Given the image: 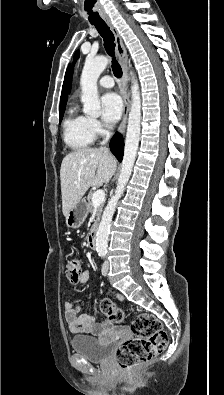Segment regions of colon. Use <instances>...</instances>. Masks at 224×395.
<instances>
[{
  "label": "colon",
  "instance_id": "1",
  "mask_svg": "<svg viewBox=\"0 0 224 395\" xmlns=\"http://www.w3.org/2000/svg\"><path fill=\"white\" fill-rule=\"evenodd\" d=\"M66 273L71 282H77L82 275L79 260H70ZM100 306L109 320L116 323L124 320L123 310L112 301L105 299ZM131 330L135 337L123 343L116 353L117 362L124 370L137 369L148 363L160 355L168 343V336L161 322L149 313L137 315L131 323Z\"/></svg>",
  "mask_w": 224,
  "mask_h": 395
}]
</instances>
